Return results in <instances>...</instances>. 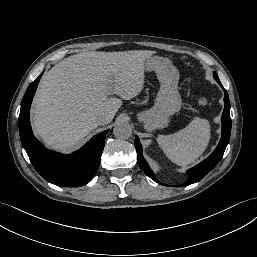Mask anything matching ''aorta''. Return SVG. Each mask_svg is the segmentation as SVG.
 <instances>
[{
	"mask_svg": "<svg viewBox=\"0 0 257 257\" xmlns=\"http://www.w3.org/2000/svg\"><path fill=\"white\" fill-rule=\"evenodd\" d=\"M113 134L118 139H128L132 135V128L127 122H119L113 128Z\"/></svg>",
	"mask_w": 257,
	"mask_h": 257,
	"instance_id": "obj_1",
	"label": "aorta"
}]
</instances>
